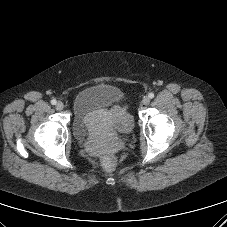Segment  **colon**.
<instances>
[{
    "label": "colon",
    "mask_w": 227,
    "mask_h": 227,
    "mask_svg": "<svg viewBox=\"0 0 227 227\" xmlns=\"http://www.w3.org/2000/svg\"><path fill=\"white\" fill-rule=\"evenodd\" d=\"M102 165L107 170H112L116 167V159L111 151L105 152L102 158Z\"/></svg>",
    "instance_id": "colon-1"
}]
</instances>
